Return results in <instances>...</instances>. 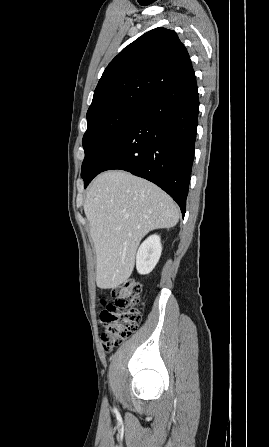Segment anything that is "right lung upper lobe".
<instances>
[{
	"label": "right lung upper lobe",
	"mask_w": 269,
	"mask_h": 447,
	"mask_svg": "<svg viewBox=\"0 0 269 447\" xmlns=\"http://www.w3.org/2000/svg\"><path fill=\"white\" fill-rule=\"evenodd\" d=\"M192 68L185 46L169 29H153L125 47L95 89L87 120L150 100Z\"/></svg>",
	"instance_id": "obj_1"
}]
</instances>
